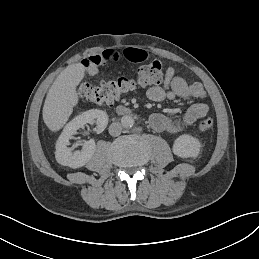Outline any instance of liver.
<instances>
[{"mask_svg":"<svg viewBox=\"0 0 259 259\" xmlns=\"http://www.w3.org/2000/svg\"><path fill=\"white\" fill-rule=\"evenodd\" d=\"M86 69L82 63L68 65L50 87L42 110L43 122L49 131H60L70 120L80 101L77 87L87 78Z\"/></svg>","mask_w":259,"mask_h":259,"instance_id":"liver-1","label":"liver"}]
</instances>
